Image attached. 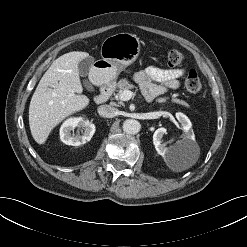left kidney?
<instances>
[{
    "label": "left kidney",
    "mask_w": 247,
    "mask_h": 247,
    "mask_svg": "<svg viewBox=\"0 0 247 247\" xmlns=\"http://www.w3.org/2000/svg\"><path fill=\"white\" fill-rule=\"evenodd\" d=\"M176 118L181 123L184 134L182 140L177 141L174 146L168 148L162 143L163 135L167 131L165 128H158L153 134V144L155 149L159 155L165 158H169L181 150L188 148L190 149L197 146L195 135L192 130V124L189 118L183 113H176Z\"/></svg>",
    "instance_id": "left-kidney-1"
}]
</instances>
